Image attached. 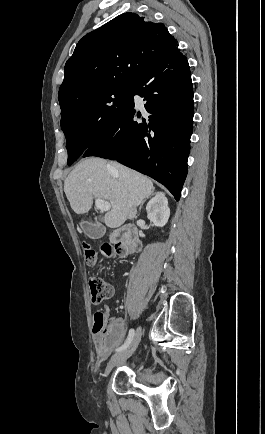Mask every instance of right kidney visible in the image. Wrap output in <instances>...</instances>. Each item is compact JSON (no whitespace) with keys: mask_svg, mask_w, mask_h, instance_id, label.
<instances>
[{"mask_svg":"<svg viewBox=\"0 0 265 434\" xmlns=\"http://www.w3.org/2000/svg\"><path fill=\"white\" fill-rule=\"evenodd\" d=\"M146 214L154 226H159V228L166 226L170 216V208H168V200L165 198L164 192H156L154 198L146 206Z\"/></svg>","mask_w":265,"mask_h":434,"instance_id":"ca27d5eb","label":"right kidney"}]
</instances>
